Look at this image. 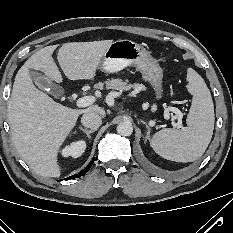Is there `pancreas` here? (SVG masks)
Masks as SVG:
<instances>
[{
	"label": "pancreas",
	"mask_w": 233,
	"mask_h": 233,
	"mask_svg": "<svg viewBox=\"0 0 233 233\" xmlns=\"http://www.w3.org/2000/svg\"><path fill=\"white\" fill-rule=\"evenodd\" d=\"M127 82H128L127 80L123 81L121 79H112L106 82V88L115 89V90H119L120 92H122V91H127L131 88L138 89L140 87L139 84L130 85V84H127Z\"/></svg>",
	"instance_id": "cf45deb5"
}]
</instances>
